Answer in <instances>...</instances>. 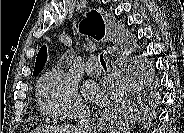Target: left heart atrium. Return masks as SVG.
I'll return each instance as SVG.
<instances>
[{"label": "left heart atrium", "mask_w": 184, "mask_h": 133, "mask_svg": "<svg viewBox=\"0 0 184 133\" xmlns=\"http://www.w3.org/2000/svg\"><path fill=\"white\" fill-rule=\"evenodd\" d=\"M83 94L89 100L99 101L101 99V94L99 92L98 86L92 82H87L84 85Z\"/></svg>", "instance_id": "1"}]
</instances>
